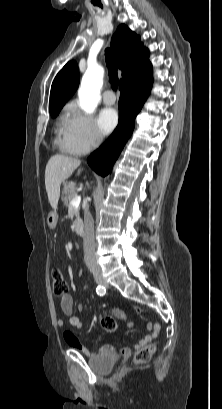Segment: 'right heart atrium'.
<instances>
[{"label":"right heart atrium","mask_w":222,"mask_h":409,"mask_svg":"<svg viewBox=\"0 0 222 409\" xmlns=\"http://www.w3.org/2000/svg\"><path fill=\"white\" fill-rule=\"evenodd\" d=\"M65 131L69 143L79 154L97 149L103 141L93 117L80 111L76 105L68 108Z\"/></svg>","instance_id":"1"}]
</instances>
